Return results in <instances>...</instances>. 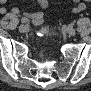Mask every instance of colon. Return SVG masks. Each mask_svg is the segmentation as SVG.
I'll return each mask as SVG.
<instances>
[{"label":"colon","instance_id":"5ec220e1","mask_svg":"<svg viewBox=\"0 0 91 91\" xmlns=\"http://www.w3.org/2000/svg\"><path fill=\"white\" fill-rule=\"evenodd\" d=\"M41 52H42V57H43V59H45V58L47 57V48H46V47H43V48L41 49Z\"/></svg>","mask_w":91,"mask_h":91}]
</instances>
